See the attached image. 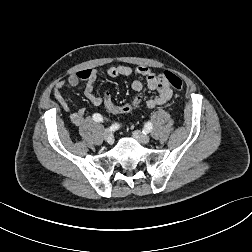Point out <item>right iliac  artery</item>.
Instances as JSON below:
<instances>
[{"mask_svg": "<svg viewBox=\"0 0 252 252\" xmlns=\"http://www.w3.org/2000/svg\"><path fill=\"white\" fill-rule=\"evenodd\" d=\"M93 120L96 121V122H102L103 121V117L98 114V113H95L93 115ZM115 125L119 126V124L115 123Z\"/></svg>", "mask_w": 252, "mask_h": 252, "instance_id": "1", "label": "right iliac artery"}]
</instances>
